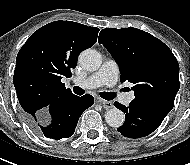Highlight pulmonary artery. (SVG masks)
<instances>
[{
    "instance_id": "e3ab8cb5",
    "label": "pulmonary artery",
    "mask_w": 190,
    "mask_h": 165,
    "mask_svg": "<svg viewBox=\"0 0 190 165\" xmlns=\"http://www.w3.org/2000/svg\"><path fill=\"white\" fill-rule=\"evenodd\" d=\"M119 77V66L112 60H106L98 71L86 78H75L74 83L80 87L96 88L101 85L114 86ZM134 98L133 93L123 96L122 100L125 104H129Z\"/></svg>"
}]
</instances>
